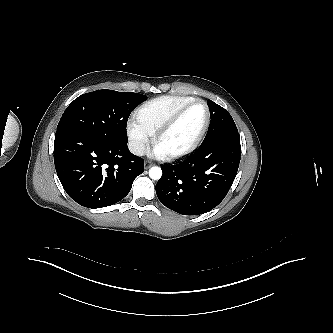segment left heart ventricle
I'll use <instances>...</instances> for the list:
<instances>
[{
	"mask_svg": "<svg viewBox=\"0 0 333 333\" xmlns=\"http://www.w3.org/2000/svg\"><path fill=\"white\" fill-rule=\"evenodd\" d=\"M206 120V109L201 103L191 106L178 123L164 135L158 145L160 152H174L187 147L198 135Z\"/></svg>",
	"mask_w": 333,
	"mask_h": 333,
	"instance_id": "left-heart-ventricle-1",
	"label": "left heart ventricle"
}]
</instances>
